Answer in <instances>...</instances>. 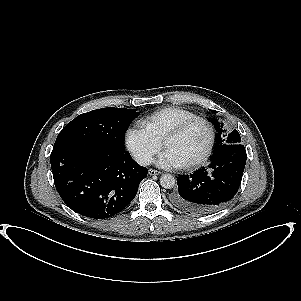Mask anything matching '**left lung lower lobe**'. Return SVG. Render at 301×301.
<instances>
[{"instance_id":"left-lung-lower-lobe-1","label":"left lung lower lobe","mask_w":301,"mask_h":301,"mask_svg":"<svg viewBox=\"0 0 301 301\" xmlns=\"http://www.w3.org/2000/svg\"><path fill=\"white\" fill-rule=\"evenodd\" d=\"M246 159L242 144L228 145L214 153L208 168L177 177L178 189L171 195L172 204L196 214H208L224 207L239 189Z\"/></svg>"}]
</instances>
